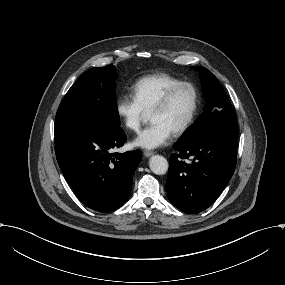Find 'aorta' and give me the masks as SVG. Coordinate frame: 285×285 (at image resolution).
Instances as JSON below:
<instances>
[{"mask_svg":"<svg viewBox=\"0 0 285 285\" xmlns=\"http://www.w3.org/2000/svg\"><path fill=\"white\" fill-rule=\"evenodd\" d=\"M149 167L153 173L163 175L168 171L169 165L166 158L161 155H154L149 160Z\"/></svg>","mask_w":285,"mask_h":285,"instance_id":"aorta-1","label":"aorta"}]
</instances>
